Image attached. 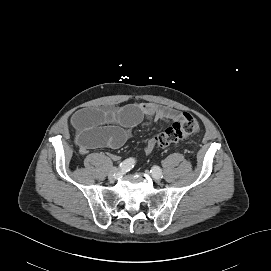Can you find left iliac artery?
Wrapping results in <instances>:
<instances>
[{
    "label": "left iliac artery",
    "mask_w": 271,
    "mask_h": 271,
    "mask_svg": "<svg viewBox=\"0 0 271 271\" xmlns=\"http://www.w3.org/2000/svg\"><path fill=\"white\" fill-rule=\"evenodd\" d=\"M150 172L154 176H162V171L158 166H153L152 169L150 170Z\"/></svg>",
    "instance_id": "44dca946"
}]
</instances>
